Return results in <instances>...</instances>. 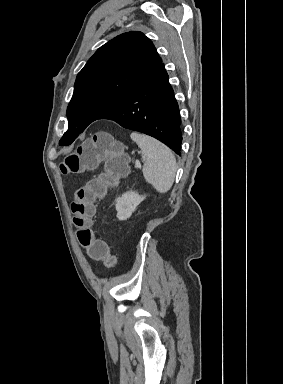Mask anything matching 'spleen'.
Listing matches in <instances>:
<instances>
[{"instance_id": "spleen-1", "label": "spleen", "mask_w": 283, "mask_h": 384, "mask_svg": "<svg viewBox=\"0 0 283 384\" xmlns=\"http://www.w3.org/2000/svg\"><path fill=\"white\" fill-rule=\"evenodd\" d=\"M142 150L143 176L153 188L165 194L172 188L177 172L176 160L172 150L144 134L133 132L130 136Z\"/></svg>"}]
</instances>
